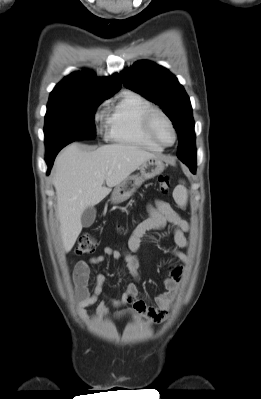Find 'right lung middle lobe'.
<instances>
[{
  "label": "right lung middle lobe",
  "mask_w": 261,
  "mask_h": 399,
  "mask_svg": "<svg viewBox=\"0 0 261 399\" xmlns=\"http://www.w3.org/2000/svg\"><path fill=\"white\" fill-rule=\"evenodd\" d=\"M105 99L107 98H49L44 126L46 147L80 139H94V113Z\"/></svg>",
  "instance_id": "1"
}]
</instances>
